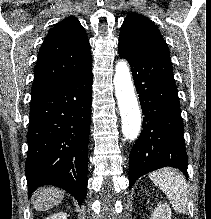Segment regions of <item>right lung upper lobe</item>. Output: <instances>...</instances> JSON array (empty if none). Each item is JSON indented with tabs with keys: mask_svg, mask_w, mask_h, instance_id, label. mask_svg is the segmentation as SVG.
Listing matches in <instances>:
<instances>
[{
	"mask_svg": "<svg viewBox=\"0 0 211 219\" xmlns=\"http://www.w3.org/2000/svg\"><path fill=\"white\" fill-rule=\"evenodd\" d=\"M92 64L89 40L74 17L50 29L39 50L32 95L46 91Z\"/></svg>",
	"mask_w": 211,
	"mask_h": 219,
	"instance_id": "1",
	"label": "right lung upper lobe"
}]
</instances>
